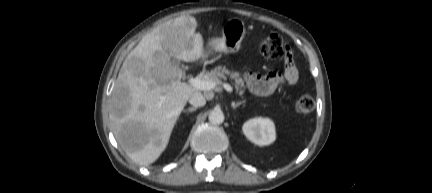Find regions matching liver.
<instances>
[{
    "instance_id": "obj_1",
    "label": "liver",
    "mask_w": 432,
    "mask_h": 193,
    "mask_svg": "<svg viewBox=\"0 0 432 193\" xmlns=\"http://www.w3.org/2000/svg\"><path fill=\"white\" fill-rule=\"evenodd\" d=\"M192 16L169 20L142 38L127 55L109 101L113 134L137 164L155 162L196 88L182 83L171 57L194 62L204 55L203 38Z\"/></svg>"
}]
</instances>
